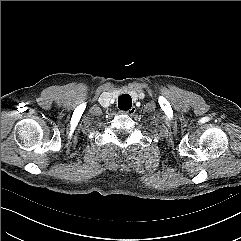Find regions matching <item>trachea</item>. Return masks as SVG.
Masks as SVG:
<instances>
[{"mask_svg": "<svg viewBox=\"0 0 241 241\" xmlns=\"http://www.w3.org/2000/svg\"><path fill=\"white\" fill-rule=\"evenodd\" d=\"M118 107L121 110L127 111L132 107V99L128 94H122L118 98Z\"/></svg>", "mask_w": 241, "mask_h": 241, "instance_id": "trachea-1", "label": "trachea"}]
</instances>
